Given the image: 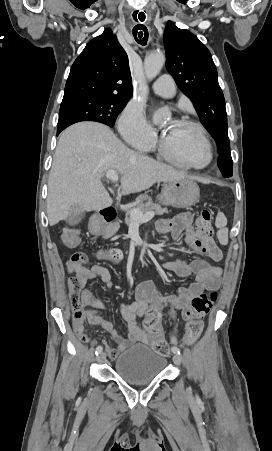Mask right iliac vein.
Segmentation results:
<instances>
[{
  "mask_svg": "<svg viewBox=\"0 0 272 451\" xmlns=\"http://www.w3.org/2000/svg\"><path fill=\"white\" fill-rule=\"evenodd\" d=\"M105 357H106L105 353H104V352H101V353L97 356V362H98V363H103V362L105 361Z\"/></svg>",
  "mask_w": 272,
  "mask_h": 451,
  "instance_id": "63e3f726",
  "label": "right iliac vein"
}]
</instances>
